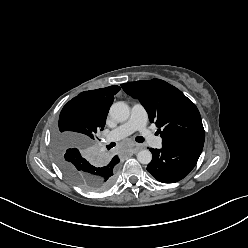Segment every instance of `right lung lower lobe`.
<instances>
[{"label": "right lung lower lobe", "mask_w": 248, "mask_h": 248, "mask_svg": "<svg viewBox=\"0 0 248 248\" xmlns=\"http://www.w3.org/2000/svg\"><path fill=\"white\" fill-rule=\"evenodd\" d=\"M69 157H71L72 155L71 154H68Z\"/></svg>", "instance_id": "right-lung-lower-lobe-1"}]
</instances>
